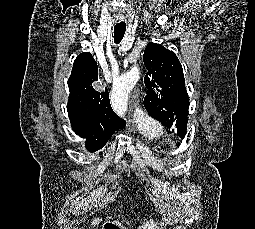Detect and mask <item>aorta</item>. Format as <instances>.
Here are the masks:
<instances>
[{"label":"aorta","mask_w":255,"mask_h":229,"mask_svg":"<svg viewBox=\"0 0 255 229\" xmlns=\"http://www.w3.org/2000/svg\"><path fill=\"white\" fill-rule=\"evenodd\" d=\"M139 76V68L133 67L130 71L121 75L120 78L113 83L110 102L114 112L119 117H124L127 111L128 95L139 80Z\"/></svg>","instance_id":"obj_1"}]
</instances>
